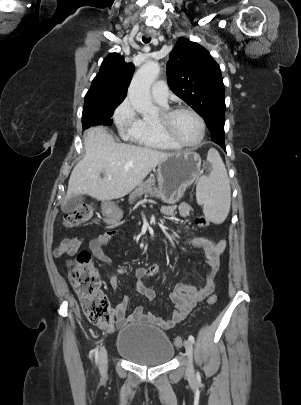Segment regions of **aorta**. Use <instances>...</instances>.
<instances>
[{
  "label": "aorta",
  "instance_id": "1",
  "mask_svg": "<svg viewBox=\"0 0 301 405\" xmlns=\"http://www.w3.org/2000/svg\"><path fill=\"white\" fill-rule=\"evenodd\" d=\"M160 73L157 62L148 61L134 74L128 88V96L132 106L142 115L155 112L151 101L150 87Z\"/></svg>",
  "mask_w": 301,
  "mask_h": 405
}]
</instances>
